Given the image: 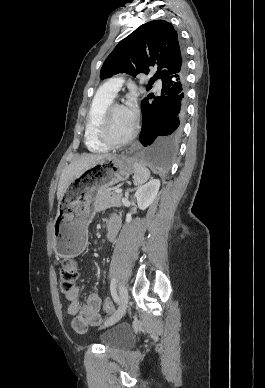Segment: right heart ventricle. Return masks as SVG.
I'll return each mask as SVG.
<instances>
[{
  "label": "right heart ventricle",
  "instance_id": "e07e8e85",
  "mask_svg": "<svg viewBox=\"0 0 265 388\" xmlns=\"http://www.w3.org/2000/svg\"><path fill=\"white\" fill-rule=\"evenodd\" d=\"M117 97L116 91H97L86 120L85 140L88 148L95 152L106 151L108 147L100 142L96 135V127L99 116L103 109L114 102Z\"/></svg>",
  "mask_w": 265,
  "mask_h": 388
}]
</instances>
